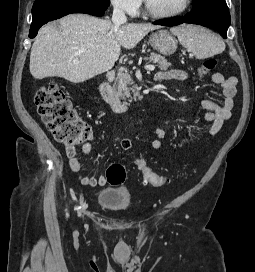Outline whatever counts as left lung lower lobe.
Listing matches in <instances>:
<instances>
[{"label": "left lung lower lobe", "mask_w": 255, "mask_h": 272, "mask_svg": "<svg viewBox=\"0 0 255 272\" xmlns=\"http://www.w3.org/2000/svg\"><path fill=\"white\" fill-rule=\"evenodd\" d=\"M230 13L225 0H202L186 16L153 22L164 26H176L182 23H195L215 29L226 38L230 25Z\"/></svg>", "instance_id": "0a47b994"}]
</instances>
